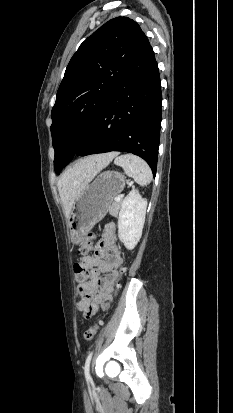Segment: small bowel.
Returning <instances> with one entry per match:
<instances>
[{
    "mask_svg": "<svg viewBox=\"0 0 233 413\" xmlns=\"http://www.w3.org/2000/svg\"><path fill=\"white\" fill-rule=\"evenodd\" d=\"M116 240V225L108 222L95 255L81 260L90 269L89 279L77 287L80 298L78 306L87 317L95 315L99 307L107 309L112 301V293L123 263L122 251Z\"/></svg>",
    "mask_w": 233,
    "mask_h": 413,
    "instance_id": "small-bowel-1",
    "label": "small bowel"
}]
</instances>
